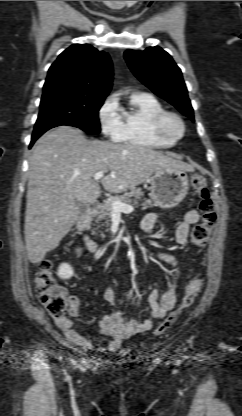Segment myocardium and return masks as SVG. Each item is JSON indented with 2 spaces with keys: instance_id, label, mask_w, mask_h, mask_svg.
Segmentation results:
<instances>
[{
  "instance_id": "f54148a6",
  "label": "myocardium",
  "mask_w": 242,
  "mask_h": 416,
  "mask_svg": "<svg viewBox=\"0 0 242 416\" xmlns=\"http://www.w3.org/2000/svg\"><path fill=\"white\" fill-rule=\"evenodd\" d=\"M170 121H174L178 125L179 132L177 134H173L168 130L167 125ZM153 130L159 137L177 142L184 136L185 123L177 113L164 111L154 119Z\"/></svg>"
}]
</instances>
